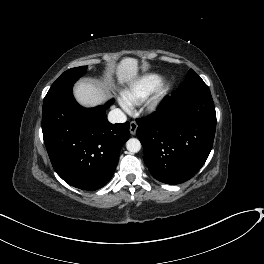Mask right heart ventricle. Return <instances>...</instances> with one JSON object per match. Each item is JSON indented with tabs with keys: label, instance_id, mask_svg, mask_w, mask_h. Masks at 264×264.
I'll list each match as a JSON object with an SVG mask.
<instances>
[{
	"label": "right heart ventricle",
	"instance_id": "1",
	"mask_svg": "<svg viewBox=\"0 0 264 264\" xmlns=\"http://www.w3.org/2000/svg\"><path fill=\"white\" fill-rule=\"evenodd\" d=\"M160 80V75L156 73L140 75L122 92L123 101L129 106L140 103L154 90Z\"/></svg>",
	"mask_w": 264,
	"mask_h": 264
}]
</instances>
